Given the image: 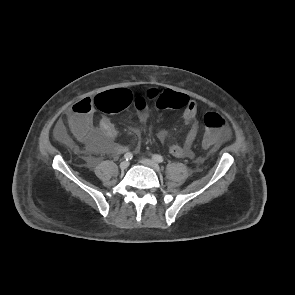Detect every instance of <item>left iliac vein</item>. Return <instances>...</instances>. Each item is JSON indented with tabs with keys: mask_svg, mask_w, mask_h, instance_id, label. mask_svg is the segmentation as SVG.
Here are the masks:
<instances>
[{
	"mask_svg": "<svg viewBox=\"0 0 295 295\" xmlns=\"http://www.w3.org/2000/svg\"><path fill=\"white\" fill-rule=\"evenodd\" d=\"M140 163L147 166V167H150L152 168L153 170H155L156 172H159L160 171V166L153 160H150V159H141L140 160Z\"/></svg>",
	"mask_w": 295,
	"mask_h": 295,
	"instance_id": "1",
	"label": "left iliac vein"
}]
</instances>
